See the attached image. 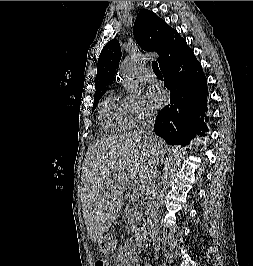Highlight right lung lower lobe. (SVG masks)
<instances>
[{"label": "right lung lower lobe", "instance_id": "right-lung-lower-lobe-1", "mask_svg": "<svg viewBox=\"0 0 253 266\" xmlns=\"http://www.w3.org/2000/svg\"><path fill=\"white\" fill-rule=\"evenodd\" d=\"M170 104L157 115L154 131L169 145H186L208 131L207 79L201 64L189 48L178 59L161 67Z\"/></svg>", "mask_w": 253, "mask_h": 266}]
</instances>
